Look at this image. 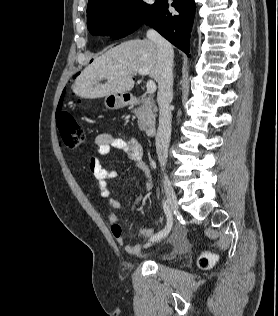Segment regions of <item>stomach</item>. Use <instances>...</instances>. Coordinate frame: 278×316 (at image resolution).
Here are the masks:
<instances>
[{
  "instance_id": "stomach-1",
  "label": "stomach",
  "mask_w": 278,
  "mask_h": 316,
  "mask_svg": "<svg viewBox=\"0 0 278 316\" xmlns=\"http://www.w3.org/2000/svg\"><path fill=\"white\" fill-rule=\"evenodd\" d=\"M128 104V101L123 96L109 95L105 98V105L108 109L114 110L122 108Z\"/></svg>"
}]
</instances>
